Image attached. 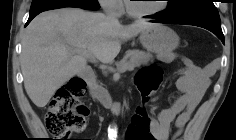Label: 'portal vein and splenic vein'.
Returning <instances> with one entry per match:
<instances>
[{
    "label": "portal vein and splenic vein",
    "mask_w": 236,
    "mask_h": 140,
    "mask_svg": "<svg viewBox=\"0 0 236 140\" xmlns=\"http://www.w3.org/2000/svg\"><path fill=\"white\" fill-rule=\"evenodd\" d=\"M80 52L84 57L89 58L92 61H95L94 57L87 50H81ZM126 70H127V65L126 64L123 67L118 69L119 72H124Z\"/></svg>",
    "instance_id": "obj_1"
}]
</instances>
